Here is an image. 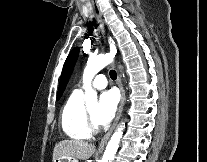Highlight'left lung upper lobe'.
Returning <instances> with one entry per match:
<instances>
[{"instance_id":"left-lung-upper-lobe-1","label":"left lung upper lobe","mask_w":207,"mask_h":162,"mask_svg":"<svg viewBox=\"0 0 207 162\" xmlns=\"http://www.w3.org/2000/svg\"><path fill=\"white\" fill-rule=\"evenodd\" d=\"M79 53V48L76 47L74 48L70 54L68 55L64 67H63V71H62V75H61V80H60V85H59V91H58V99L61 96L67 82L68 79L72 73V69L74 67V64L76 62L77 56Z\"/></svg>"}]
</instances>
